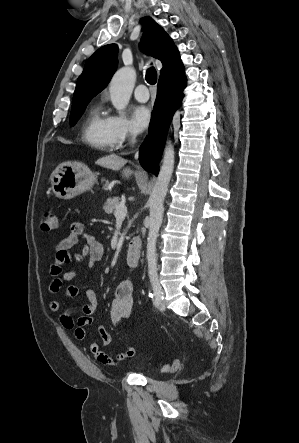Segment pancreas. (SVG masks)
<instances>
[{"instance_id":"1","label":"pancreas","mask_w":299,"mask_h":443,"mask_svg":"<svg viewBox=\"0 0 299 443\" xmlns=\"http://www.w3.org/2000/svg\"><path fill=\"white\" fill-rule=\"evenodd\" d=\"M118 205H120V199L118 197L109 198L104 203L103 210L107 214H112Z\"/></svg>"}]
</instances>
